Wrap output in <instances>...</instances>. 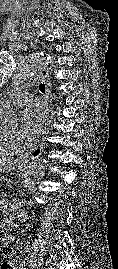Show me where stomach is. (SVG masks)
<instances>
[{
  "mask_svg": "<svg viewBox=\"0 0 118 269\" xmlns=\"http://www.w3.org/2000/svg\"><path fill=\"white\" fill-rule=\"evenodd\" d=\"M18 167H19V168H22V167H23V165L21 164V165H19Z\"/></svg>",
  "mask_w": 118,
  "mask_h": 269,
  "instance_id": "stomach-1",
  "label": "stomach"
}]
</instances>
